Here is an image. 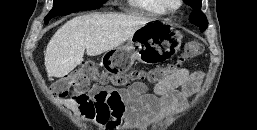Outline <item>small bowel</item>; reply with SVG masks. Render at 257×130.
<instances>
[{
  "mask_svg": "<svg viewBox=\"0 0 257 130\" xmlns=\"http://www.w3.org/2000/svg\"><path fill=\"white\" fill-rule=\"evenodd\" d=\"M202 80V73L181 68L156 83L152 93L142 82L119 90L95 84L85 100L55 97L54 102L105 130H149L183 106Z\"/></svg>",
  "mask_w": 257,
  "mask_h": 130,
  "instance_id": "1",
  "label": "small bowel"
}]
</instances>
